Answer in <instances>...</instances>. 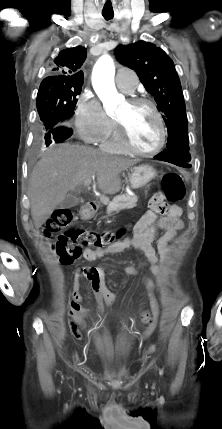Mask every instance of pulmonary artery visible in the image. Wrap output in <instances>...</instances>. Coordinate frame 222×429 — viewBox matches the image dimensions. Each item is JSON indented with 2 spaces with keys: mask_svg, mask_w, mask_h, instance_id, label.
I'll return each instance as SVG.
<instances>
[{
  "mask_svg": "<svg viewBox=\"0 0 222 429\" xmlns=\"http://www.w3.org/2000/svg\"><path fill=\"white\" fill-rule=\"evenodd\" d=\"M115 80L117 87L125 93L134 92L138 84L134 71L127 68L118 70Z\"/></svg>",
  "mask_w": 222,
  "mask_h": 429,
  "instance_id": "1",
  "label": "pulmonary artery"
}]
</instances>
